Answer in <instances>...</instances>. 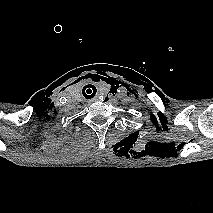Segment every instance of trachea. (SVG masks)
I'll return each mask as SVG.
<instances>
[{"label":"trachea","mask_w":213,"mask_h":213,"mask_svg":"<svg viewBox=\"0 0 213 213\" xmlns=\"http://www.w3.org/2000/svg\"><path fill=\"white\" fill-rule=\"evenodd\" d=\"M92 89H93V88H92ZM91 92H92V90H91ZM91 92H90V93H91ZM90 93H88V94H90ZM95 94H96V89L93 90V93H92L91 95H87V94L85 93V97L90 99V98H93Z\"/></svg>","instance_id":"1"}]
</instances>
